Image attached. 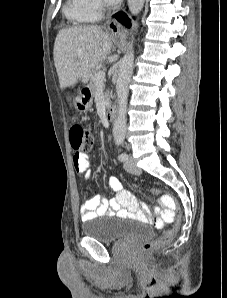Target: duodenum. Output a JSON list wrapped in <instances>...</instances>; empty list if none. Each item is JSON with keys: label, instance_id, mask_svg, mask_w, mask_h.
<instances>
[{"label": "duodenum", "instance_id": "1", "mask_svg": "<svg viewBox=\"0 0 227 298\" xmlns=\"http://www.w3.org/2000/svg\"><path fill=\"white\" fill-rule=\"evenodd\" d=\"M86 93L87 94H90V89L87 88L86 89ZM116 115H117V108L115 105H110L107 109V112H106V117H107V120L109 122H113L116 118Z\"/></svg>", "mask_w": 227, "mask_h": 298}]
</instances>
